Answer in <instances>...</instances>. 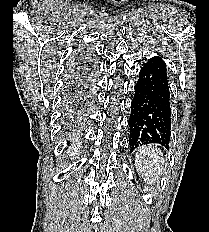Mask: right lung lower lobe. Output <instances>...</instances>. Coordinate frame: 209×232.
Returning a JSON list of instances; mask_svg holds the SVG:
<instances>
[{
  "mask_svg": "<svg viewBox=\"0 0 209 232\" xmlns=\"http://www.w3.org/2000/svg\"><path fill=\"white\" fill-rule=\"evenodd\" d=\"M75 61L80 66L85 65L86 67H89L90 54L86 52L79 53Z\"/></svg>",
  "mask_w": 209,
  "mask_h": 232,
  "instance_id": "obj_1",
  "label": "right lung lower lobe"
}]
</instances>
